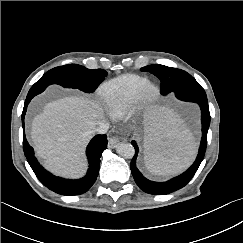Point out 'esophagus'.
Listing matches in <instances>:
<instances>
[{"label":"esophagus","instance_id":"esophagus-1","mask_svg":"<svg viewBox=\"0 0 243 243\" xmlns=\"http://www.w3.org/2000/svg\"><path fill=\"white\" fill-rule=\"evenodd\" d=\"M123 141V138L113 136L109 139V146L115 148L120 142Z\"/></svg>","mask_w":243,"mask_h":243}]
</instances>
